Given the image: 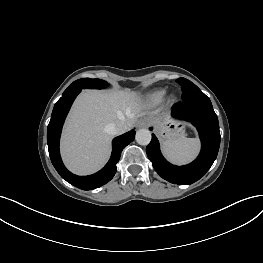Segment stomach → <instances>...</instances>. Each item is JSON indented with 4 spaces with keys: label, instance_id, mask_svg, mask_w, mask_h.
<instances>
[{
    "label": "stomach",
    "instance_id": "0dacf381",
    "mask_svg": "<svg viewBox=\"0 0 263 263\" xmlns=\"http://www.w3.org/2000/svg\"><path fill=\"white\" fill-rule=\"evenodd\" d=\"M186 134V124L183 122H170L169 125L164 124L159 129V135L162 140H172L179 137H184Z\"/></svg>",
    "mask_w": 263,
    "mask_h": 263
}]
</instances>
